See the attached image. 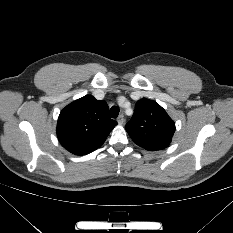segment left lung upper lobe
Returning a JSON list of instances; mask_svg holds the SVG:
<instances>
[{
  "label": "left lung upper lobe",
  "instance_id": "left-lung-upper-lobe-1",
  "mask_svg": "<svg viewBox=\"0 0 233 233\" xmlns=\"http://www.w3.org/2000/svg\"><path fill=\"white\" fill-rule=\"evenodd\" d=\"M126 131L140 147L150 150L166 148L175 132V123L155 101L143 98L137 101Z\"/></svg>",
  "mask_w": 233,
  "mask_h": 233
}]
</instances>
